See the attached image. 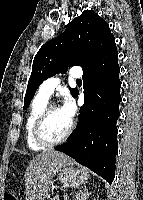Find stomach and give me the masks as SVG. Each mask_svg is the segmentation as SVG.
<instances>
[{
    "label": "stomach",
    "instance_id": "stomach-1",
    "mask_svg": "<svg viewBox=\"0 0 143 200\" xmlns=\"http://www.w3.org/2000/svg\"><path fill=\"white\" fill-rule=\"evenodd\" d=\"M58 178L64 187L78 188L86 183L89 173L84 168H73L65 165L59 170Z\"/></svg>",
    "mask_w": 143,
    "mask_h": 200
}]
</instances>
